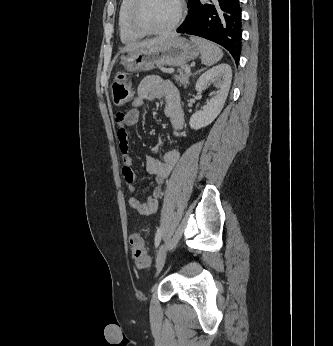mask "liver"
I'll list each match as a JSON object with an SVG mask.
<instances>
[{"instance_id": "obj_1", "label": "liver", "mask_w": 333, "mask_h": 346, "mask_svg": "<svg viewBox=\"0 0 333 346\" xmlns=\"http://www.w3.org/2000/svg\"><path fill=\"white\" fill-rule=\"evenodd\" d=\"M175 37H178V35L177 34H170V35H166V36L156 37L154 39H149V40H146V41H143L140 43L129 45L126 48H124L121 52H129V51H133L135 49L142 48L145 46L159 44V43H162L168 39L175 38Z\"/></svg>"}]
</instances>
